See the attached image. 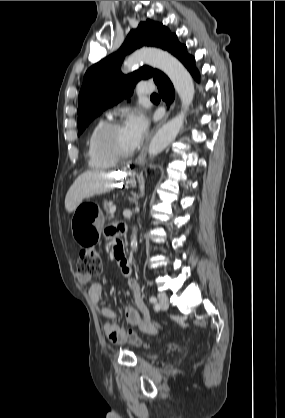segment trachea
<instances>
[{
    "mask_svg": "<svg viewBox=\"0 0 285 418\" xmlns=\"http://www.w3.org/2000/svg\"><path fill=\"white\" fill-rule=\"evenodd\" d=\"M151 98H159V96H158V95H156V94H152V95H151Z\"/></svg>",
    "mask_w": 285,
    "mask_h": 418,
    "instance_id": "trachea-1",
    "label": "trachea"
}]
</instances>
